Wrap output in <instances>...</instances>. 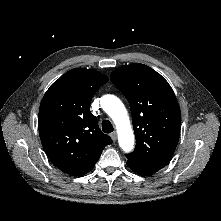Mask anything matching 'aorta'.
I'll return each mask as SVG.
<instances>
[{"mask_svg": "<svg viewBox=\"0 0 221 221\" xmlns=\"http://www.w3.org/2000/svg\"><path fill=\"white\" fill-rule=\"evenodd\" d=\"M101 107L116 125L120 147L130 152L134 147V133L124 104L118 97L107 94L101 98Z\"/></svg>", "mask_w": 221, "mask_h": 221, "instance_id": "obj_1", "label": "aorta"}]
</instances>
